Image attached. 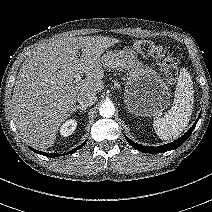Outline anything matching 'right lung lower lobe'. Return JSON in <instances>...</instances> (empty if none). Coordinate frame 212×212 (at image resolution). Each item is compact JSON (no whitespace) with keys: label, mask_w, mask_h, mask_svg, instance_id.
Here are the masks:
<instances>
[{"label":"right lung lower lobe","mask_w":212,"mask_h":212,"mask_svg":"<svg viewBox=\"0 0 212 212\" xmlns=\"http://www.w3.org/2000/svg\"><path fill=\"white\" fill-rule=\"evenodd\" d=\"M86 141H84L81 145H79L78 147L74 148L73 150L65 153V154H52V155H48L47 153L45 152H42V151H38L36 149H33L31 147H29L32 151H34L35 153H38V154H41V155H45L47 157H57V156H61V155H66V154H70V153H74L75 151L79 150L80 148H82L84 145H85Z\"/></svg>","instance_id":"98d812e1"}]
</instances>
